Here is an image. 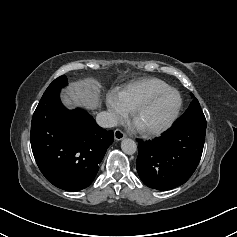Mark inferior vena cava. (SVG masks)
Instances as JSON below:
<instances>
[{
    "instance_id": "inferior-vena-cava-1",
    "label": "inferior vena cava",
    "mask_w": 237,
    "mask_h": 237,
    "mask_svg": "<svg viewBox=\"0 0 237 237\" xmlns=\"http://www.w3.org/2000/svg\"><path fill=\"white\" fill-rule=\"evenodd\" d=\"M96 122L100 127L103 128H112L117 126V119L110 112H100L96 116Z\"/></svg>"
}]
</instances>
